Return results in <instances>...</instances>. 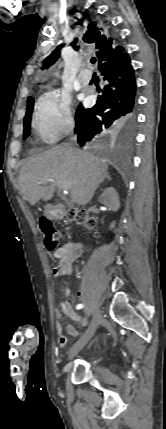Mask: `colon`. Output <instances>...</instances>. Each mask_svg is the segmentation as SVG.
<instances>
[{"label":"colon","instance_id":"5ec220e1","mask_svg":"<svg viewBox=\"0 0 166 429\" xmlns=\"http://www.w3.org/2000/svg\"><path fill=\"white\" fill-rule=\"evenodd\" d=\"M64 217L67 220L75 221L80 224H85L92 227L94 220L90 218L84 210L70 208L65 211ZM40 228L44 237V244L47 250L55 252L62 241L61 234L53 227L50 220L42 218L40 220Z\"/></svg>","mask_w":166,"mask_h":429}]
</instances>
